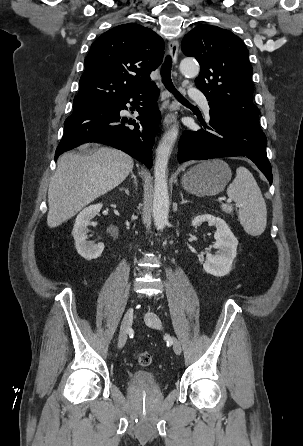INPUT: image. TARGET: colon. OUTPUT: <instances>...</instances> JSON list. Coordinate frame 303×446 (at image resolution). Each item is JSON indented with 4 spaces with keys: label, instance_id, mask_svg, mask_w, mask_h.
<instances>
[{
    "label": "colon",
    "instance_id": "obj_1",
    "mask_svg": "<svg viewBox=\"0 0 303 446\" xmlns=\"http://www.w3.org/2000/svg\"><path fill=\"white\" fill-rule=\"evenodd\" d=\"M135 360L140 366H148L151 364L152 357L147 351H137L135 354Z\"/></svg>",
    "mask_w": 303,
    "mask_h": 446
}]
</instances>
